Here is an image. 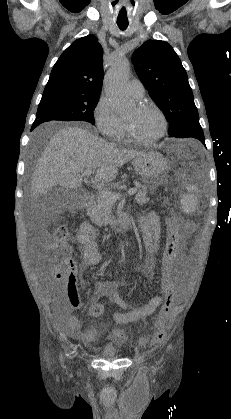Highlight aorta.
<instances>
[{"mask_svg":"<svg viewBox=\"0 0 231 419\" xmlns=\"http://www.w3.org/2000/svg\"><path fill=\"white\" fill-rule=\"evenodd\" d=\"M130 64L126 58L119 59L107 72L104 89L116 112H124L130 107V100L126 91Z\"/></svg>","mask_w":231,"mask_h":419,"instance_id":"obj_1","label":"aorta"}]
</instances>
